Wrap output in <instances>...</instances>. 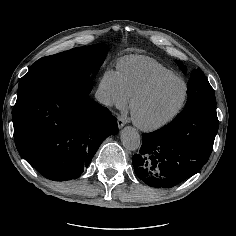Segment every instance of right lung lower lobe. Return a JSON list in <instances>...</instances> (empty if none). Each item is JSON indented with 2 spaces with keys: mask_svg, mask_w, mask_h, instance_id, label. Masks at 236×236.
Listing matches in <instances>:
<instances>
[{
  "mask_svg": "<svg viewBox=\"0 0 236 236\" xmlns=\"http://www.w3.org/2000/svg\"><path fill=\"white\" fill-rule=\"evenodd\" d=\"M91 90L81 78L17 98L12 113L16 148L48 179L79 177L100 144L118 133L117 119L88 97Z\"/></svg>",
  "mask_w": 236,
  "mask_h": 236,
  "instance_id": "98d812e1",
  "label": "right lung lower lobe"
}]
</instances>
